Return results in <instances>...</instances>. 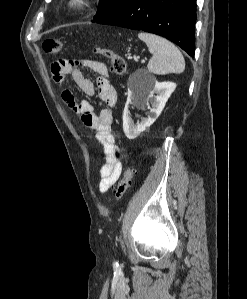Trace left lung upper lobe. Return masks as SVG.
Returning a JSON list of instances; mask_svg holds the SVG:
<instances>
[{"label": "left lung upper lobe", "instance_id": "left-lung-upper-lobe-1", "mask_svg": "<svg viewBox=\"0 0 247 299\" xmlns=\"http://www.w3.org/2000/svg\"><path fill=\"white\" fill-rule=\"evenodd\" d=\"M122 1L123 0H100L99 9L92 22H97L112 13Z\"/></svg>", "mask_w": 247, "mask_h": 299}]
</instances>
